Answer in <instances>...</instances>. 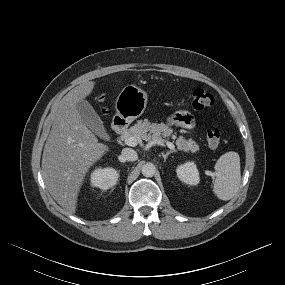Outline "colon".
Segmentation results:
<instances>
[{"label":"colon","mask_w":285,"mask_h":285,"mask_svg":"<svg viewBox=\"0 0 285 285\" xmlns=\"http://www.w3.org/2000/svg\"><path fill=\"white\" fill-rule=\"evenodd\" d=\"M214 103V97L202 88H196L191 93V105L195 110H203ZM207 143L210 147H217L222 139V132L219 128L213 127L207 130Z\"/></svg>","instance_id":"1"}]
</instances>
